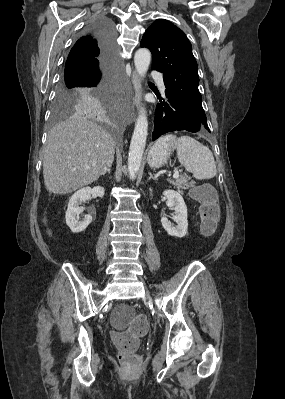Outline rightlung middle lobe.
<instances>
[{"instance_id":"right-lung-middle-lobe-1","label":"right lung middle lobe","mask_w":285,"mask_h":399,"mask_svg":"<svg viewBox=\"0 0 285 399\" xmlns=\"http://www.w3.org/2000/svg\"><path fill=\"white\" fill-rule=\"evenodd\" d=\"M98 100L101 107L93 110L91 114L108 116L112 109V93L107 90L95 91L83 88L73 83L61 81L56 90V97L53 106V123L58 122L65 116L74 113H90L92 107L90 101Z\"/></svg>"}]
</instances>
